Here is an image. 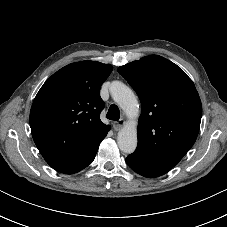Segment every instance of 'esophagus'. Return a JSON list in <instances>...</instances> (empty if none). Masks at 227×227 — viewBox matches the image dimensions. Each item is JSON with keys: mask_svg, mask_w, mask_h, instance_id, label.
<instances>
[{"mask_svg": "<svg viewBox=\"0 0 227 227\" xmlns=\"http://www.w3.org/2000/svg\"><path fill=\"white\" fill-rule=\"evenodd\" d=\"M125 123H126L125 119L121 118L120 120L114 122V129L116 131L120 130Z\"/></svg>", "mask_w": 227, "mask_h": 227, "instance_id": "obj_1", "label": "esophagus"}]
</instances>
